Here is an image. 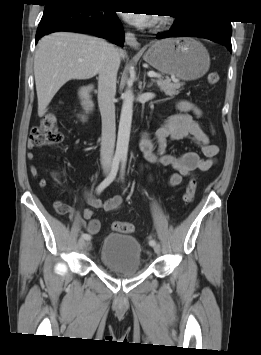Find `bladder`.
Wrapping results in <instances>:
<instances>
[{
	"label": "bladder",
	"instance_id": "bladder-1",
	"mask_svg": "<svg viewBox=\"0 0 261 355\" xmlns=\"http://www.w3.org/2000/svg\"><path fill=\"white\" fill-rule=\"evenodd\" d=\"M141 256V244L132 235L109 233L100 249L102 264L121 276H131L140 271Z\"/></svg>",
	"mask_w": 261,
	"mask_h": 355
}]
</instances>
